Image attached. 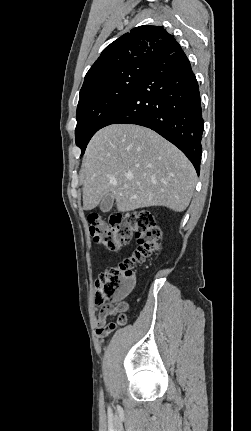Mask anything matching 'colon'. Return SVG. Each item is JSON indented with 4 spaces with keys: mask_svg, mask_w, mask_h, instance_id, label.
Listing matches in <instances>:
<instances>
[{
    "mask_svg": "<svg viewBox=\"0 0 251 431\" xmlns=\"http://www.w3.org/2000/svg\"><path fill=\"white\" fill-rule=\"evenodd\" d=\"M87 221L91 239L108 250H118L133 238L138 243L131 257L106 269L95 282V302L102 305L110 315H118L117 322L110 324V328L114 330L127 321L125 312L128 310V304L123 298L133 286L134 266L160 250L161 231L154 216L146 210L112 215L108 221L96 213H91Z\"/></svg>",
    "mask_w": 251,
    "mask_h": 431,
    "instance_id": "colon-1",
    "label": "colon"
}]
</instances>
